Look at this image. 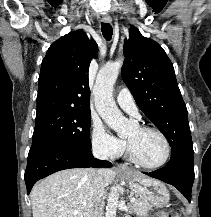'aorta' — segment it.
Masks as SVG:
<instances>
[{"label": "aorta", "mask_w": 211, "mask_h": 217, "mask_svg": "<svg viewBox=\"0 0 211 217\" xmlns=\"http://www.w3.org/2000/svg\"><path fill=\"white\" fill-rule=\"evenodd\" d=\"M122 64L123 60H118L101 68L93 89L95 107L99 115L118 134H124L128 128V120L122 115L113 99V86ZM118 189V186L111 188L106 206V217H116Z\"/></svg>", "instance_id": "aorta-1"}]
</instances>
